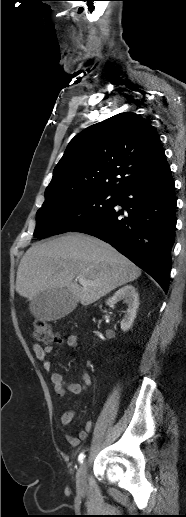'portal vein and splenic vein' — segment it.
I'll return each mask as SVG.
<instances>
[{"mask_svg":"<svg viewBox=\"0 0 186 517\" xmlns=\"http://www.w3.org/2000/svg\"><path fill=\"white\" fill-rule=\"evenodd\" d=\"M76 281H79L80 284L84 285V284H89L90 282L87 281L85 278L83 277H77L76 278Z\"/></svg>","mask_w":186,"mask_h":517,"instance_id":"portal-vein-and-splenic-vein-1","label":"portal vein and splenic vein"}]
</instances>
